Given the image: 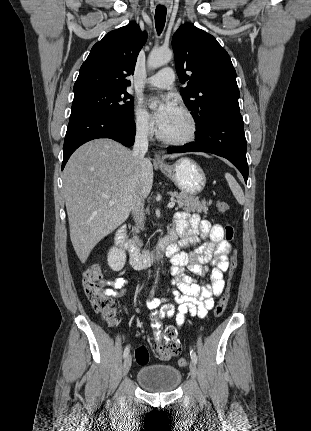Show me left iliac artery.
I'll list each match as a JSON object with an SVG mask.
<instances>
[{
  "instance_id": "1",
  "label": "left iliac artery",
  "mask_w": 311,
  "mask_h": 431,
  "mask_svg": "<svg viewBox=\"0 0 311 431\" xmlns=\"http://www.w3.org/2000/svg\"><path fill=\"white\" fill-rule=\"evenodd\" d=\"M190 356H191L192 361H194L195 363H197V355H196V353L194 352L193 349L190 350Z\"/></svg>"
}]
</instances>
